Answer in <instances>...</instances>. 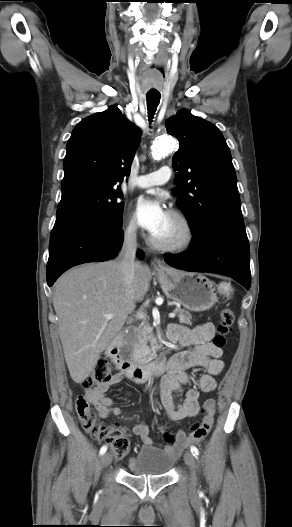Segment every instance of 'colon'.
<instances>
[{
  "mask_svg": "<svg viewBox=\"0 0 292 527\" xmlns=\"http://www.w3.org/2000/svg\"><path fill=\"white\" fill-rule=\"evenodd\" d=\"M233 322V311L229 308H224L221 311L220 320L217 324V333L212 341L216 347L222 349L226 345L227 336L231 332ZM113 365V361L110 358L99 359L90 375L83 380L82 385L88 389H95L101 384L108 382L113 376ZM76 410L85 430L92 434L94 438L109 443L115 457L122 458L128 453L130 440L123 427L98 423L94 418L88 400L84 396L77 398Z\"/></svg>",
  "mask_w": 292,
  "mask_h": 527,
  "instance_id": "5ec220e1",
  "label": "colon"
}]
</instances>
